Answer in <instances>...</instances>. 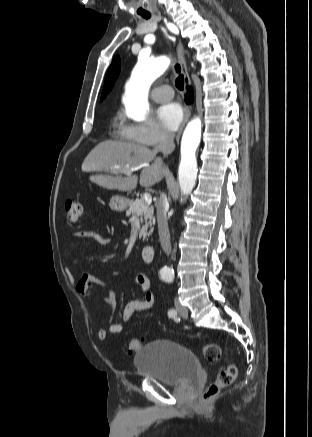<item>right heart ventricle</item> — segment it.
<instances>
[{
    "mask_svg": "<svg viewBox=\"0 0 312 437\" xmlns=\"http://www.w3.org/2000/svg\"><path fill=\"white\" fill-rule=\"evenodd\" d=\"M119 125H120V124H119V121H118V119L116 118L115 121H114V127H115V128H119Z\"/></svg>",
    "mask_w": 312,
    "mask_h": 437,
    "instance_id": "right-heart-ventricle-1",
    "label": "right heart ventricle"
}]
</instances>
